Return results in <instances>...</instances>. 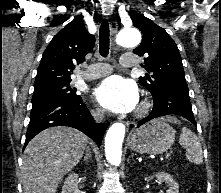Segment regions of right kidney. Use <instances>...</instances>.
<instances>
[{
  "label": "right kidney",
  "instance_id": "1",
  "mask_svg": "<svg viewBox=\"0 0 221 193\" xmlns=\"http://www.w3.org/2000/svg\"><path fill=\"white\" fill-rule=\"evenodd\" d=\"M61 193H80L78 189V174H70L66 178Z\"/></svg>",
  "mask_w": 221,
  "mask_h": 193
}]
</instances>
